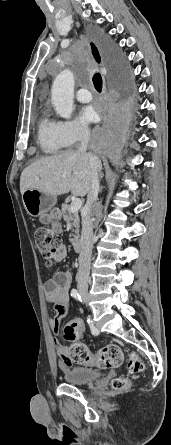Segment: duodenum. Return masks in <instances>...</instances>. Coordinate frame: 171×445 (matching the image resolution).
Segmentation results:
<instances>
[{"instance_id":"1","label":"duodenum","mask_w":171,"mask_h":445,"mask_svg":"<svg viewBox=\"0 0 171 445\" xmlns=\"http://www.w3.org/2000/svg\"><path fill=\"white\" fill-rule=\"evenodd\" d=\"M72 244H73L74 250L76 252L82 251V242H81V239L79 237H74L73 241H72Z\"/></svg>"}]
</instances>
